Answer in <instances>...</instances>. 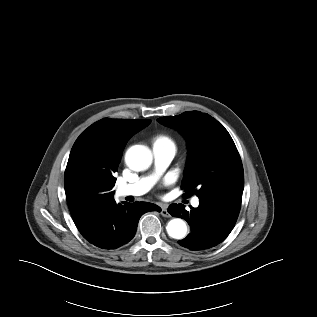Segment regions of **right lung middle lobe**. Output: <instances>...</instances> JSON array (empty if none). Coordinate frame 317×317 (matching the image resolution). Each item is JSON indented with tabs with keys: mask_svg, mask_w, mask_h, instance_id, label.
I'll return each instance as SVG.
<instances>
[{
	"mask_svg": "<svg viewBox=\"0 0 317 317\" xmlns=\"http://www.w3.org/2000/svg\"><path fill=\"white\" fill-rule=\"evenodd\" d=\"M111 186L92 173L77 171L65 181V191L77 192L83 197L103 200L111 197Z\"/></svg>",
	"mask_w": 317,
	"mask_h": 317,
	"instance_id": "right-lung-middle-lobe-1",
	"label": "right lung middle lobe"
}]
</instances>
